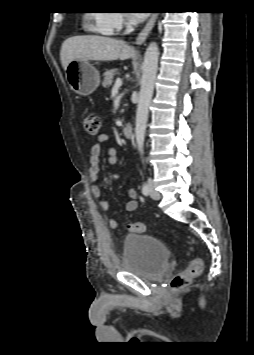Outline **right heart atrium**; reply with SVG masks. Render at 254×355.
Returning a JSON list of instances; mask_svg holds the SVG:
<instances>
[{
	"label": "right heart atrium",
	"mask_w": 254,
	"mask_h": 355,
	"mask_svg": "<svg viewBox=\"0 0 254 355\" xmlns=\"http://www.w3.org/2000/svg\"><path fill=\"white\" fill-rule=\"evenodd\" d=\"M99 28L107 34H115L130 26V20L126 13L114 9L104 11L97 18Z\"/></svg>",
	"instance_id": "right-heart-atrium-1"
}]
</instances>
